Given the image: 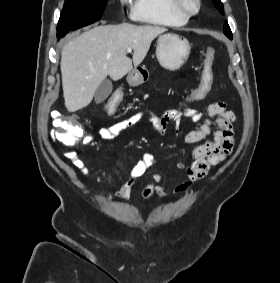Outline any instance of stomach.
<instances>
[{
	"label": "stomach",
	"mask_w": 280,
	"mask_h": 283,
	"mask_svg": "<svg viewBox=\"0 0 280 283\" xmlns=\"http://www.w3.org/2000/svg\"><path fill=\"white\" fill-rule=\"evenodd\" d=\"M190 49L186 38L175 33H166L157 41L156 57L163 68L175 71L187 61ZM146 73L144 67L135 68L128 74L127 81L132 86H138L145 81Z\"/></svg>",
	"instance_id": "0dacf381"
}]
</instances>
